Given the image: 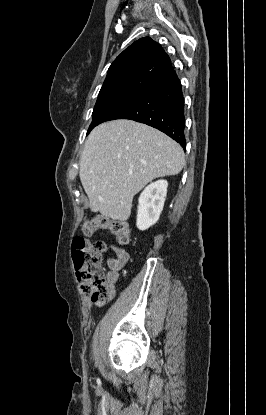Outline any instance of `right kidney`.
<instances>
[{"mask_svg": "<svg viewBox=\"0 0 266 415\" xmlns=\"http://www.w3.org/2000/svg\"><path fill=\"white\" fill-rule=\"evenodd\" d=\"M167 187L166 180H158L149 184L140 194L136 223L139 230H146L158 221L167 195Z\"/></svg>", "mask_w": 266, "mask_h": 415, "instance_id": "ca27d5eb", "label": "right kidney"}]
</instances>
